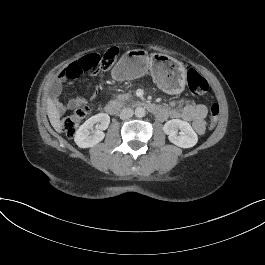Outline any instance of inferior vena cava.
<instances>
[{
	"mask_svg": "<svg viewBox=\"0 0 265 265\" xmlns=\"http://www.w3.org/2000/svg\"><path fill=\"white\" fill-rule=\"evenodd\" d=\"M133 116V110L130 108H123L120 113V119L127 120Z\"/></svg>",
	"mask_w": 265,
	"mask_h": 265,
	"instance_id": "1",
	"label": "inferior vena cava"
}]
</instances>
